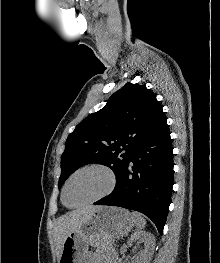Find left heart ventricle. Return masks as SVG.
Segmentation results:
<instances>
[{"label":"left heart ventricle","mask_w":220,"mask_h":263,"mask_svg":"<svg viewBox=\"0 0 220 263\" xmlns=\"http://www.w3.org/2000/svg\"><path fill=\"white\" fill-rule=\"evenodd\" d=\"M108 186L107 175L100 170H87L76 175L70 182L65 202L76 205L94 198L104 192Z\"/></svg>","instance_id":"left-heart-ventricle-1"}]
</instances>
